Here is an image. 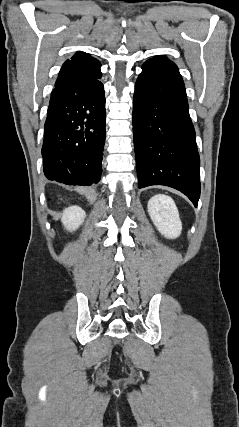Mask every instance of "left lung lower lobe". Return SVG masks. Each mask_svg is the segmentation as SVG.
Wrapping results in <instances>:
<instances>
[{
  "instance_id": "1",
  "label": "left lung lower lobe",
  "mask_w": 239,
  "mask_h": 427,
  "mask_svg": "<svg viewBox=\"0 0 239 427\" xmlns=\"http://www.w3.org/2000/svg\"><path fill=\"white\" fill-rule=\"evenodd\" d=\"M133 135L138 187L169 186L197 206L200 159L178 70L152 61L143 64L135 85Z\"/></svg>"
}]
</instances>
